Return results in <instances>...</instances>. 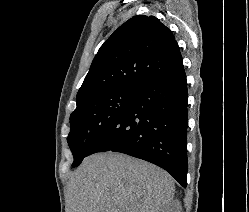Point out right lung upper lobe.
<instances>
[{
    "mask_svg": "<svg viewBox=\"0 0 249 212\" xmlns=\"http://www.w3.org/2000/svg\"><path fill=\"white\" fill-rule=\"evenodd\" d=\"M181 63L182 56L170 29L154 16H135L99 49L78 91L77 105L110 92H138Z\"/></svg>",
    "mask_w": 249,
    "mask_h": 212,
    "instance_id": "cb5924a9",
    "label": "right lung upper lobe"
}]
</instances>
